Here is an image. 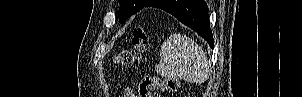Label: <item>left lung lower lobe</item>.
Returning a JSON list of instances; mask_svg holds the SVG:
<instances>
[{
    "instance_id": "0a47b994",
    "label": "left lung lower lobe",
    "mask_w": 302,
    "mask_h": 97,
    "mask_svg": "<svg viewBox=\"0 0 302 97\" xmlns=\"http://www.w3.org/2000/svg\"><path fill=\"white\" fill-rule=\"evenodd\" d=\"M148 7L160 8L200 34L214 46L210 29L208 8L203 0H154Z\"/></svg>"
}]
</instances>
